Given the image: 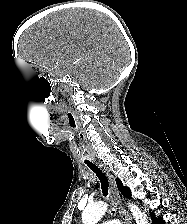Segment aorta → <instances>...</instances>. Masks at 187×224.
<instances>
[{
  "label": "aorta",
  "instance_id": "obj_1",
  "mask_svg": "<svg viewBox=\"0 0 187 224\" xmlns=\"http://www.w3.org/2000/svg\"><path fill=\"white\" fill-rule=\"evenodd\" d=\"M130 210L135 218L136 224H148V219L145 212L141 211L135 204H129ZM108 209L106 203H97L86 207L82 212L83 224H97Z\"/></svg>",
  "mask_w": 187,
  "mask_h": 224
}]
</instances>
